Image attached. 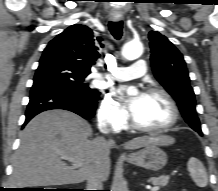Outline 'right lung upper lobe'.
I'll use <instances>...</instances> for the list:
<instances>
[{"instance_id":"obj_1","label":"right lung upper lobe","mask_w":218,"mask_h":191,"mask_svg":"<svg viewBox=\"0 0 218 191\" xmlns=\"http://www.w3.org/2000/svg\"><path fill=\"white\" fill-rule=\"evenodd\" d=\"M97 42H101V38H94L89 27L74 24L49 42L42 57H54L81 72L90 73L91 66L100 56Z\"/></svg>"}]
</instances>
